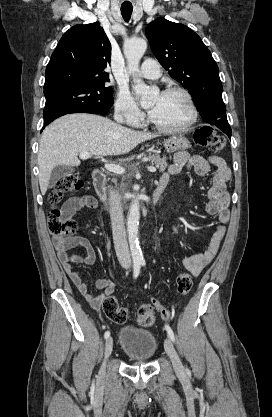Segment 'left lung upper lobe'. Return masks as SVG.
Wrapping results in <instances>:
<instances>
[{
	"instance_id": "5c2ea615",
	"label": "left lung upper lobe",
	"mask_w": 272,
	"mask_h": 417,
	"mask_svg": "<svg viewBox=\"0 0 272 417\" xmlns=\"http://www.w3.org/2000/svg\"><path fill=\"white\" fill-rule=\"evenodd\" d=\"M155 57L192 95L202 118L231 130L222 99L219 69L210 50L189 27L158 18L145 30Z\"/></svg>"
}]
</instances>
